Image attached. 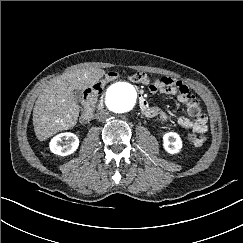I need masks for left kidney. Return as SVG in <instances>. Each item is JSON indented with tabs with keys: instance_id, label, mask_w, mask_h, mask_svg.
I'll return each instance as SVG.
<instances>
[{
	"instance_id": "1",
	"label": "left kidney",
	"mask_w": 243,
	"mask_h": 243,
	"mask_svg": "<svg viewBox=\"0 0 243 243\" xmlns=\"http://www.w3.org/2000/svg\"><path fill=\"white\" fill-rule=\"evenodd\" d=\"M163 147L170 154L178 153L182 148V140L176 132H167L163 135Z\"/></svg>"
}]
</instances>
